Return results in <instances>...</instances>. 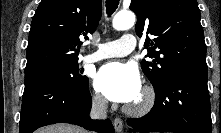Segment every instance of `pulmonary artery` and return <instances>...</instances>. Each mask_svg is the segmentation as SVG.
Returning <instances> with one entry per match:
<instances>
[{
    "mask_svg": "<svg viewBox=\"0 0 221 133\" xmlns=\"http://www.w3.org/2000/svg\"><path fill=\"white\" fill-rule=\"evenodd\" d=\"M95 53L85 57L88 62H96L107 58L123 57L131 53L136 47V39L132 34H125L118 41L98 44Z\"/></svg>",
    "mask_w": 221,
    "mask_h": 133,
    "instance_id": "1",
    "label": "pulmonary artery"
}]
</instances>
